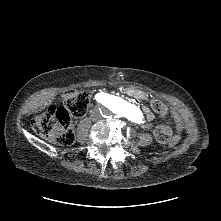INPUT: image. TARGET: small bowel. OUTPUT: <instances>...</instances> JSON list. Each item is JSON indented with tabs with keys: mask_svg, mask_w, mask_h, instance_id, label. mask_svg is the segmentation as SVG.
<instances>
[{
	"mask_svg": "<svg viewBox=\"0 0 221 221\" xmlns=\"http://www.w3.org/2000/svg\"><path fill=\"white\" fill-rule=\"evenodd\" d=\"M100 94H101V93H100ZM96 96H97V94H92V99H95ZM143 112H144L145 118H146L147 120H149V121L152 120V115H151V113H150L146 108L143 109Z\"/></svg>",
	"mask_w": 221,
	"mask_h": 221,
	"instance_id": "small-bowel-1",
	"label": "small bowel"
}]
</instances>
